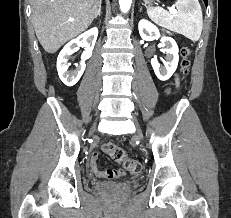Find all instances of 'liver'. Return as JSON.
Instances as JSON below:
<instances>
[{"instance_id":"1","label":"liver","mask_w":231,"mask_h":218,"mask_svg":"<svg viewBox=\"0 0 231 218\" xmlns=\"http://www.w3.org/2000/svg\"><path fill=\"white\" fill-rule=\"evenodd\" d=\"M100 3L101 0H31L32 23L44 50L55 53L85 31L93 22Z\"/></svg>"}]
</instances>
